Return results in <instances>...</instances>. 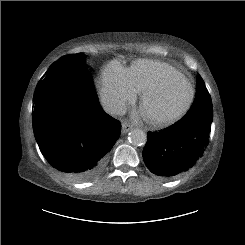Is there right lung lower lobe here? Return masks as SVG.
<instances>
[{
	"label": "right lung lower lobe",
	"instance_id": "98d812e1",
	"mask_svg": "<svg viewBox=\"0 0 245 245\" xmlns=\"http://www.w3.org/2000/svg\"><path fill=\"white\" fill-rule=\"evenodd\" d=\"M120 123L98 101L61 107L34 121L46 160L74 181H89L104 170L108 153L120 136Z\"/></svg>",
	"mask_w": 245,
	"mask_h": 245
}]
</instances>
